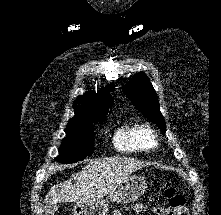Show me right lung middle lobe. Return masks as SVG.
Listing matches in <instances>:
<instances>
[{"mask_svg": "<svg viewBox=\"0 0 221 215\" xmlns=\"http://www.w3.org/2000/svg\"><path fill=\"white\" fill-rule=\"evenodd\" d=\"M105 119L88 120L73 117L67 124L66 138L62 141L60 155L56 159L60 162L72 163L90 155L94 145L92 123L102 122Z\"/></svg>", "mask_w": 221, "mask_h": 215, "instance_id": "right-lung-middle-lobe-1", "label": "right lung middle lobe"}]
</instances>
